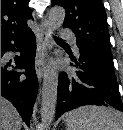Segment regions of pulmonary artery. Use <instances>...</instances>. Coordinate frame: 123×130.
<instances>
[{"label":"pulmonary artery","mask_w":123,"mask_h":130,"mask_svg":"<svg viewBox=\"0 0 123 130\" xmlns=\"http://www.w3.org/2000/svg\"><path fill=\"white\" fill-rule=\"evenodd\" d=\"M60 35L63 38L69 39L71 41V43L74 44V46H76V38H75V35L72 33L71 30L66 29V28L62 29L61 32H60Z\"/></svg>","instance_id":"e3ab8cb5"}]
</instances>
